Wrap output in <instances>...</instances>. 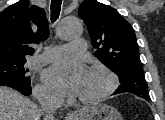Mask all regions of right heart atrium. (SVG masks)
Returning a JSON list of instances; mask_svg holds the SVG:
<instances>
[{
  "label": "right heart atrium",
  "mask_w": 165,
  "mask_h": 120,
  "mask_svg": "<svg viewBox=\"0 0 165 120\" xmlns=\"http://www.w3.org/2000/svg\"><path fill=\"white\" fill-rule=\"evenodd\" d=\"M36 95L43 100H57L58 95L45 85H37L35 88Z\"/></svg>",
  "instance_id": "obj_1"
}]
</instances>
